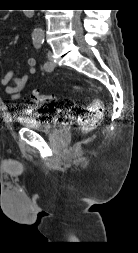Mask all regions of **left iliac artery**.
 Instances as JSON below:
<instances>
[{
	"label": "left iliac artery",
	"mask_w": 138,
	"mask_h": 253,
	"mask_svg": "<svg viewBox=\"0 0 138 253\" xmlns=\"http://www.w3.org/2000/svg\"><path fill=\"white\" fill-rule=\"evenodd\" d=\"M43 42H44V41H43L42 39H37V40H35V41H34V46H35V48H36V49L41 48L42 45H43ZM43 67H44L45 70H48V69L50 68L49 62H45L44 65H43Z\"/></svg>",
	"instance_id": "1"
}]
</instances>
